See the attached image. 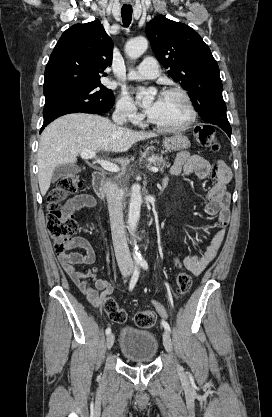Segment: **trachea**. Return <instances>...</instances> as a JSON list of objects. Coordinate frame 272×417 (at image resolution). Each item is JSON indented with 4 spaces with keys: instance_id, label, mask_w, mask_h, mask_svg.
I'll list each match as a JSON object with an SVG mask.
<instances>
[{
    "instance_id": "3493384b",
    "label": "trachea",
    "mask_w": 272,
    "mask_h": 417,
    "mask_svg": "<svg viewBox=\"0 0 272 417\" xmlns=\"http://www.w3.org/2000/svg\"><path fill=\"white\" fill-rule=\"evenodd\" d=\"M122 22L125 27H128L132 20V7L124 5L121 9Z\"/></svg>"
}]
</instances>
